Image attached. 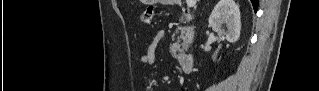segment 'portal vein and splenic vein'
I'll list each match as a JSON object with an SVG mask.
<instances>
[{
    "label": "portal vein and splenic vein",
    "instance_id": "obj_1",
    "mask_svg": "<svg viewBox=\"0 0 319 91\" xmlns=\"http://www.w3.org/2000/svg\"><path fill=\"white\" fill-rule=\"evenodd\" d=\"M196 4V1L195 0H187V6L188 7H194Z\"/></svg>",
    "mask_w": 319,
    "mask_h": 91
}]
</instances>
